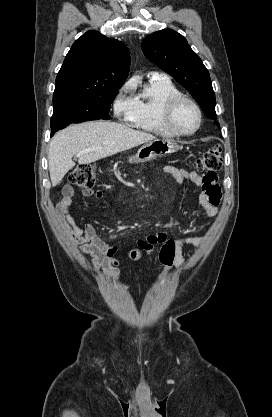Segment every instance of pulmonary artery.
<instances>
[{"label":"pulmonary artery","instance_id":"1","mask_svg":"<svg viewBox=\"0 0 272 417\" xmlns=\"http://www.w3.org/2000/svg\"><path fill=\"white\" fill-rule=\"evenodd\" d=\"M151 77H153V78H165L166 76L163 73H160V72H152Z\"/></svg>","mask_w":272,"mask_h":417}]
</instances>
